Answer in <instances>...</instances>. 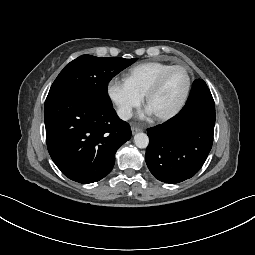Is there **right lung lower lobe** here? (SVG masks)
Returning a JSON list of instances; mask_svg holds the SVG:
<instances>
[{"label":"right lung lower lobe","mask_w":255,"mask_h":255,"mask_svg":"<svg viewBox=\"0 0 255 255\" xmlns=\"http://www.w3.org/2000/svg\"><path fill=\"white\" fill-rule=\"evenodd\" d=\"M49 154L69 179L87 184L112 170L115 153L131 138L115 110L76 93L48 94L44 106Z\"/></svg>","instance_id":"obj_1"}]
</instances>
